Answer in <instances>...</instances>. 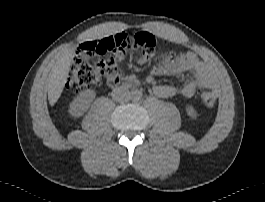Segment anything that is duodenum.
<instances>
[{
	"mask_svg": "<svg viewBox=\"0 0 265 202\" xmlns=\"http://www.w3.org/2000/svg\"><path fill=\"white\" fill-rule=\"evenodd\" d=\"M129 86H130V84H129L128 81H124V82H123V87H129Z\"/></svg>",
	"mask_w": 265,
	"mask_h": 202,
	"instance_id": "410a0bca",
	"label": "duodenum"
}]
</instances>
